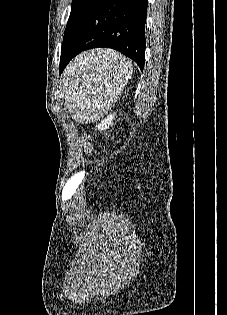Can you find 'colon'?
Here are the masks:
<instances>
[{
    "label": "colon",
    "instance_id": "obj_1",
    "mask_svg": "<svg viewBox=\"0 0 227 315\" xmlns=\"http://www.w3.org/2000/svg\"><path fill=\"white\" fill-rule=\"evenodd\" d=\"M82 140L86 146L87 151H90L91 138L88 134H83Z\"/></svg>",
    "mask_w": 227,
    "mask_h": 315
}]
</instances>
